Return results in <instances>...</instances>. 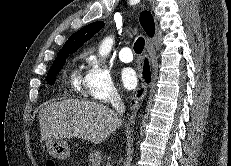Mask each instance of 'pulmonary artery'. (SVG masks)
Returning a JSON list of instances; mask_svg holds the SVG:
<instances>
[{
	"mask_svg": "<svg viewBox=\"0 0 231 166\" xmlns=\"http://www.w3.org/2000/svg\"><path fill=\"white\" fill-rule=\"evenodd\" d=\"M119 59L122 61V62H125V63H129L132 61L133 59V55H132V50L130 47L128 46H125L123 47L120 51H119Z\"/></svg>",
	"mask_w": 231,
	"mask_h": 166,
	"instance_id": "1",
	"label": "pulmonary artery"
}]
</instances>
